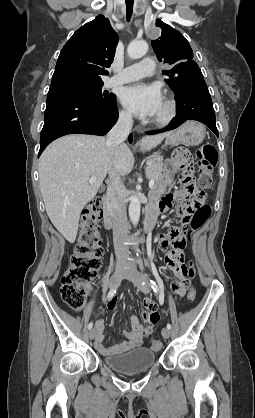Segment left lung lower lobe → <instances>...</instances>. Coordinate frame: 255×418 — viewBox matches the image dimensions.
<instances>
[{"instance_id":"0a47b994","label":"left lung lower lobe","mask_w":255,"mask_h":418,"mask_svg":"<svg viewBox=\"0 0 255 418\" xmlns=\"http://www.w3.org/2000/svg\"><path fill=\"white\" fill-rule=\"evenodd\" d=\"M175 99L176 117L164 129L147 134L165 132L177 128L187 120H197L207 125L218 137L212 100L203 78L181 87L176 92Z\"/></svg>"}]
</instances>
